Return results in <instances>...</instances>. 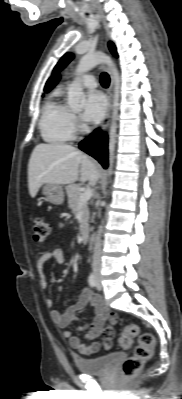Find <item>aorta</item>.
<instances>
[{
    "mask_svg": "<svg viewBox=\"0 0 182 399\" xmlns=\"http://www.w3.org/2000/svg\"><path fill=\"white\" fill-rule=\"evenodd\" d=\"M99 64H106L110 68L114 82L113 111L111 116V126L109 130L108 176L110 177L112 174V167L114 163V152H115L116 130H117L116 121L118 119L119 94H120V77L118 70L116 69L113 61L109 56H107L102 52H96L93 54H86L80 59L75 71V75L76 77H79ZM84 102H85V95L83 92L82 84L80 80L77 78L69 86L68 105L74 110H79L83 107Z\"/></svg>",
    "mask_w": 182,
    "mask_h": 399,
    "instance_id": "obj_1",
    "label": "aorta"
}]
</instances>
